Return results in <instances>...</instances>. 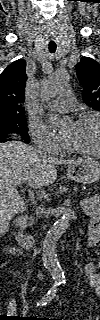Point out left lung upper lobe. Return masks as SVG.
I'll list each match as a JSON object with an SVG mask.
<instances>
[{"label": "left lung upper lobe", "mask_w": 100, "mask_h": 320, "mask_svg": "<svg viewBox=\"0 0 100 320\" xmlns=\"http://www.w3.org/2000/svg\"><path fill=\"white\" fill-rule=\"evenodd\" d=\"M76 71L83 87V101L100 111V64L89 57H82Z\"/></svg>", "instance_id": "5c2ea615"}]
</instances>
